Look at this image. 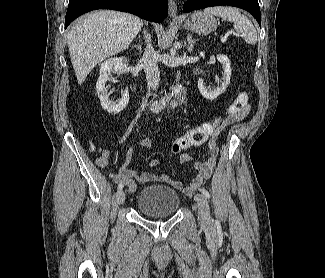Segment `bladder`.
<instances>
[{"label": "bladder", "instance_id": "bladder-1", "mask_svg": "<svg viewBox=\"0 0 325 278\" xmlns=\"http://www.w3.org/2000/svg\"><path fill=\"white\" fill-rule=\"evenodd\" d=\"M180 204L181 198L175 189L166 185L150 184L139 191L136 207L143 215L164 217L177 213Z\"/></svg>", "mask_w": 325, "mask_h": 278}]
</instances>
